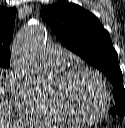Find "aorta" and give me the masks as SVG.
I'll return each instance as SVG.
<instances>
[{"label":"aorta","instance_id":"762f6f07","mask_svg":"<svg viewBox=\"0 0 125 128\" xmlns=\"http://www.w3.org/2000/svg\"><path fill=\"white\" fill-rule=\"evenodd\" d=\"M46 38L44 26L35 23L22 29L13 41L16 66L42 90L51 89L54 84L53 73L39 55Z\"/></svg>","mask_w":125,"mask_h":128}]
</instances>
